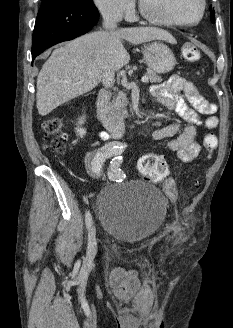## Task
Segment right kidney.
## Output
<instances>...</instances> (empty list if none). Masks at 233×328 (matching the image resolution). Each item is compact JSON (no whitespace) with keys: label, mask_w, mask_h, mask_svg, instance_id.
<instances>
[{"label":"right kidney","mask_w":233,"mask_h":328,"mask_svg":"<svg viewBox=\"0 0 233 328\" xmlns=\"http://www.w3.org/2000/svg\"><path fill=\"white\" fill-rule=\"evenodd\" d=\"M84 121H85V117H82V118H80V120H79V125H82L83 123H84ZM77 130V134L80 136V137H83V135L86 133V130L85 129H83V128H77L76 129Z\"/></svg>","instance_id":"1"}]
</instances>
